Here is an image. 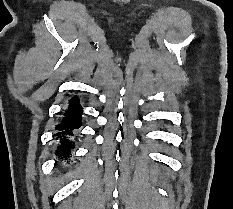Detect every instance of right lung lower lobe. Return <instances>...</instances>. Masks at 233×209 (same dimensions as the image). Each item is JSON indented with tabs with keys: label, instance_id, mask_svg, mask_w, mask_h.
<instances>
[{
	"label": "right lung lower lobe",
	"instance_id": "obj_1",
	"mask_svg": "<svg viewBox=\"0 0 233 209\" xmlns=\"http://www.w3.org/2000/svg\"><path fill=\"white\" fill-rule=\"evenodd\" d=\"M82 108L79 99L74 97L69 101V108L64 113V118L60 124L56 126L59 130L56 134L60 145L57 148L56 155L59 157H68L73 147L72 137L75 135V129L81 126Z\"/></svg>",
	"mask_w": 233,
	"mask_h": 209
}]
</instances>
